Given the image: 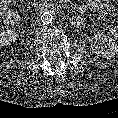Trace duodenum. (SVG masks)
<instances>
[{
	"instance_id": "duodenum-1",
	"label": "duodenum",
	"mask_w": 118,
	"mask_h": 118,
	"mask_svg": "<svg viewBox=\"0 0 118 118\" xmlns=\"http://www.w3.org/2000/svg\"><path fill=\"white\" fill-rule=\"evenodd\" d=\"M36 10L40 13L56 12L58 10V8H57V6H55L52 3L38 1L36 3ZM70 21H71L72 25H74L75 27H81L83 24L81 17H79L77 15L71 16Z\"/></svg>"
}]
</instances>
